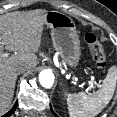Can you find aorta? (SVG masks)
I'll use <instances>...</instances> for the list:
<instances>
[{"instance_id":"obj_1","label":"aorta","mask_w":117,"mask_h":117,"mask_svg":"<svg viewBox=\"0 0 117 117\" xmlns=\"http://www.w3.org/2000/svg\"><path fill=\"white\" fill-rule=\"evenodd\" d=\"M39 82L44 88H51L54 83V75L49 70H43L39 74Z\"/></svg>"}]
</instances>
